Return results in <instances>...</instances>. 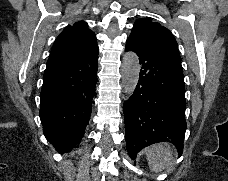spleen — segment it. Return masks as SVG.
<instances>
[{"instance_id": "obj_1", "label": "spleen", "mask_w": 228, "mask_h": 181, "mask_svg": "<svg viewBox=\"0 0 228 181\" xmlns=\"http://www.w3.org/2000/svg\"><path fill=\"white\" fill-rule=\"evenodd\" d=\"M146 159L150 167V171L161 173L163 169H171L174 167L173 155L167 145H152L145 149Z\"/></svg>"}]
</instances>
